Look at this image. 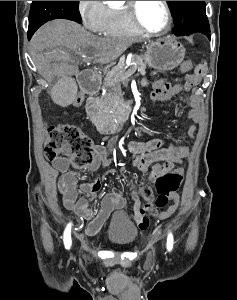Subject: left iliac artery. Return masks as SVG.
<instances>
[{
  "instance_id": "1",
  "label": "left iliac artery",
  "mask_w": 237,
  "mask_h": 300,
  "mask_svg": "<svg viewBox=\"0 0 237 300\" xmlns=\"http://www.w3.org/2000/svg\"><path fill=\"white\" fill-rule=\"evenodd\" d=\"M172 248H173V235L172 233H169L167 238V250L171 251Z\"/></svg>"
}]
</instances>
